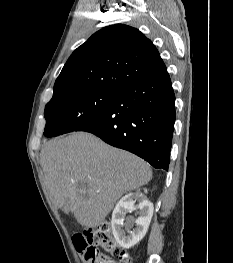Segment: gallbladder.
Wrapping results in <instances>:
<instances>
[{
  "label": "gallbladder",
  "instance_id": "1",
  "mask_svg": "<svg viewBox=\"0 0 233 263\" xmlns=\"http://www.w3.org/2000/svg\"><path fill=\"white\" fill-rule=\"evenodd\" d=\"M63 211L68 214L69 213V210L68 209H63Z\"/></svg>",
  "mask_w": 233,
  "mask_h": 263
}]
</instances>
